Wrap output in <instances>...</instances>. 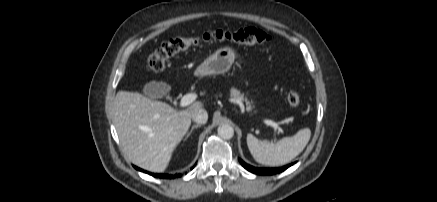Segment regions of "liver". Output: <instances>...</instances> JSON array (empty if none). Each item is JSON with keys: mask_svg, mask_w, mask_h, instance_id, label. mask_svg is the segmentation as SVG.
I'll return each instance as SVG.
<instances>
[{"mask_svg": "<svg viewBox=\"0 0 437 202\" xmlns=\"http://www.w3.org/2000/svg\"><path fill=\"white\" fill-rule=\"evenodd\" d=\"M199 109H203L201 101L178 111L140 93L119 91L113 115L124 154L143 169L164 171L191 125L192 114Z\"/></svg>", "mask_w": 437, "mask_h": 202, "instance_id": "liver-1", "label": "liver"}]
</instances>
